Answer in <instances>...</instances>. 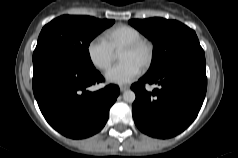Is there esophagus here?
Wrapping results in <instances>:
<instances>
[{"label": "esophagus", "instance_id": "esophagus-1", "mask_svg": "<svg viewBox=\"0 0 238 158\" xmlns=\"http://www.w3.org/2000/svg\"><path fill=\"white\" fill-rule=\"evenodd\" d=\"M129 89L128 86H120V91L124 92L125 90Z\"/></svg>", "mask_w": 238, "mask_h": 158}]
</instances>
